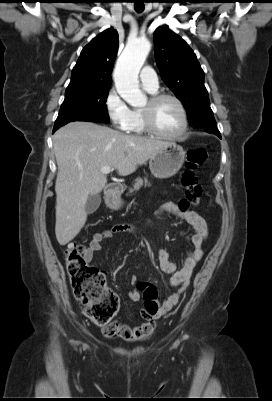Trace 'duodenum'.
I'll return each mask as SVG.
<instances>
[{
    "instance_id": "duodenum-1",
    "label": "duodenum",
    "mask_w": 272,
    "mask_h": 401,
    "mask_svg": "<svg viewBox=\"0 0 272 401\" xmlns=\"http://www.w3.org/2000/svg\"><path fill=\"white\" fill-rule=\"evenodd\" d=\"M121 192L122 186L120 184L109 185L106 193L107 202L110 205H113Z\"/></svg>"
}]
</instances>
